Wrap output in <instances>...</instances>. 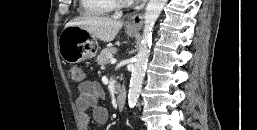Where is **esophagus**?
<instances>
[{"instance_id": "34e87169", "label": "esophagus", "mask_w": 257, "mask_h": 130, "mask_svg": "<svg viewBox=\"0 0 257 130\" xmlns=\"http://www.w3.org/2000/svg\"><path fill=\"white\" fill-rule=\"evenodd\" d=\"M144 20V14H136L132 16L128 21H127V27L137 29L140 28L141 25L143 24Z\"/></svg>"}]
</instances>
